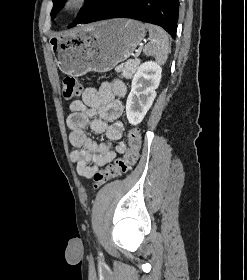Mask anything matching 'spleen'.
<instances>
[{
	"label": "spleen",
	"mask_w": 247,
	"mask_h": 280,
	"mask_svg": "<svg viewBox=\"0 0 247 280\" xmlns=\"http://www.w3.org/2000/svg\"><path fill=\"white\" fill-rule=\"evenodd\" d=\"M145 27L149 31L150 42L143 48L144 54L154 57L160 64L165 63L170 53L169 39L166 32L161 27L148 23L145 24Z\"/></svg>",
	"instance_id": "3e777b00"
}]
</instances>
